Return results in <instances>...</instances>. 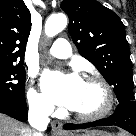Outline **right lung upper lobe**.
Listing matches in <instances>:
<instances>
[{
    "label": "right lung upper lobe",
    "instance_id": "right-lung-upper-lobe-1",
    "mask_svg": "<svg viewBox=\"0 0 136 136\" xmlns=\"http://www.w3.org/2000/svg\"><path fill=\"white\" fill-rule=\"evenodd\" d=\"M30 30L23 0H0V64H23Z\"/></svg>",
    "mask_w": 136,
    "mask_h": 136
}]
</instances>
